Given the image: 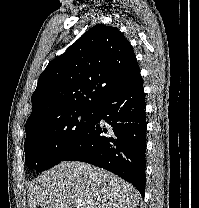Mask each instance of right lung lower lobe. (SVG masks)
<instances>
[{"mask_svg": "<svg viewBox=\"0 0 199 208\" xmlns=\"http://www.w3.org/2000/svg\"><path fill=\"white\" fill-rule=\"evenodd\" d=\"M145 108L140 75L97 102L92 124L63 161H83L107 169L132 183L144 197ZM101 119L107 123L106 126L100 123Z\"/></svg>", "mask_w": 199, "mask_h": 208, "instance_id": "right-lung-lower-lobe-1", "label": "right lung lower lobe"}]
</instances>
